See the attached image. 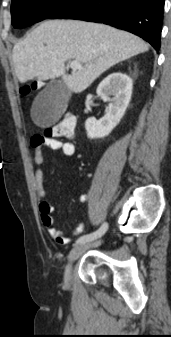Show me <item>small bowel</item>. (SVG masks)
<instances>
[{"label":"small bowel","instance_id":"obj_1","mask_svg":"<svg viewBox=\"0 0 171 337\" xmlns=\"http://www.w3.org/2000/svg\"><path fill=\"white\" fill-rule=\"evenodd\" d=\"M32 147L34 150V164L36 166L34 172V184L42 224L58 244L66 245L71 241L72 237L77 236L82 232L83 225L78 224L69 234L63 233L57 228L52 216L54 207L48 199V193L44 186V172L42 170V165L45 159L43 149L49 148L54 151H61L65 156L72 157L76 155V146L71 141H62L45 135H36L32 139ZM79 200L81 203H87L89 197L86 194H82L79 197Z\"/></svg>","mask_w":171,"mask_h":337}]
</instances>
